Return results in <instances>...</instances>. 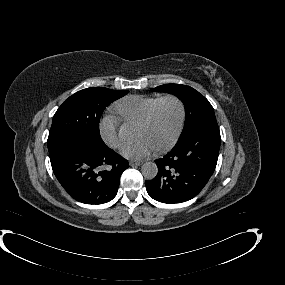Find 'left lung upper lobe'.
<instances>
[{"instance_id": "5c2ea615", "label": "left lung upper lobe", "mask_w": 285, "mask_h": 285, "mask_svg": "<svg viewBox=\"0 0 285 285\" xmlns=\"http://www.w3.org/2000/svg\"><path fill=\"white\" fill-rule=\"evenodd\" d=\"M155 91L174 94L182 100L185 106V124L179 140L186 138L202 127L217 124L212 105L192 87L180 84H164L156 87Z\"/></svg>"}]
</instances>
